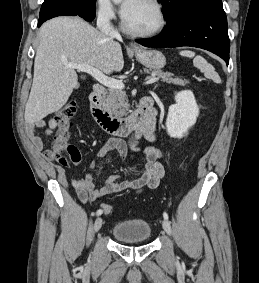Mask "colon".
<instances>
[{
    "label": "colon",
    "mask_w": 259,
    "mask_h": 283,
    "mask_svg": "<svg viewBox=\"0 0 259 283\" xmlns=\"http://www.w3.org/2000/svg\"><path fill=\"white\" fill-rule=\"evenodd\" d=\"M77 112V103L75 101L67 102L55 115L56 133L53 138L51 148L47 152L48 158L59 161L63 164H77L81 160L79 150L67 143L70 137L72 120ZM102 213L108 215L112 212L110 204L102 205Z\"/></svg>",
    "instance_id": "5ec220e1"
}]
</instances>
